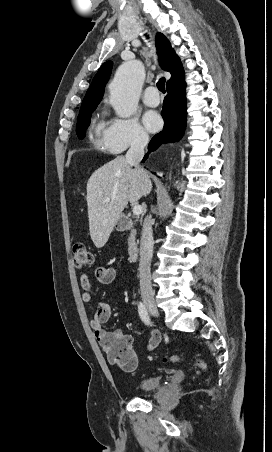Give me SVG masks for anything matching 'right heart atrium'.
<instances>
[{
	"label": "right heart atrium",
	"mask_w": 272,
	"mask_h": 452,
	"mask_svg": "<svg viewBox=\"0 0 272 452\" xmlns=\"http://www.w3.org/2000/svg\"><path fill=\"white\" fill-rule=\"evenodd\" d=\"M148 134L135 118H114L103 138V146L120 153L129 147H141L148 142Z\"/></svg>",
	"instance_id": "d8ad5b80"
}]
</instances>
